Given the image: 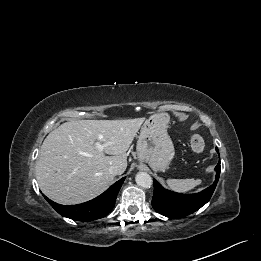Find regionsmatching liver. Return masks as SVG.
<instances>
[{
	"label": "liver",
	"mask_w": 261,
	"mask_h": 261,
	"mask_svg": "<svg viewBox=\"0 0 261 261\" xmlns=\"http://www.w3.org/2000/svg\"><path fill=\"white\" fill-rule=\"evenodd\" d=\"M143 122L144 118H135L61 124L45 138L36 163L42 193L64 205L100 195L114 180L111 166H118L120 174L126 170V152ZM97 141L104 145L103 151L96 148Z\"/></svg>",
	"instance_id": "liver-1"
}]
</instances>
